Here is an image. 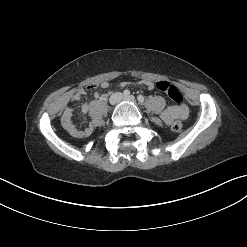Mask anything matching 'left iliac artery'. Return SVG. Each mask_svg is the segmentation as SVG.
<instances>
[{"label": "left iliac artery", "instance_id": "44dca946", "mask_svg": "<svg viewBox=\"0 0 247 247\" xmlns=\"http://www.w3.org/2000/svg\"><path fill=\"white\" fill-rule=\"evenodd\" d=\"M137 100H138L140 103H143L144 100H145V98H144L143 95H138V96H137Z\"/></svg>", "mask_w": 247, "mask_h": 247}]
</instances>
